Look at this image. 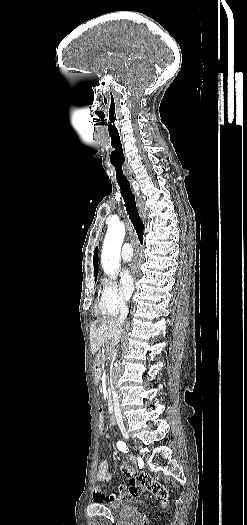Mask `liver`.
Listing matches in <instances>:
<instances>
[{
	"label": "liver",
	"instance_id": "liver-1",
	"mask_svg": "<svg viewBox=\"0 0 247 525\" xmlns=\"http://www.w3.org/2000/svg\"><path fill=\"white\" fill-rule=\"evenodd\" d=\"M123 325L116 323L115 319H101V321H94L91 325V333L95 337L96 349L99 347H104L106 343H111V345H117L121 337Z\"/></svg>",
	"mask_w": 247,
	"mask_h": 525
}]
</instances>
